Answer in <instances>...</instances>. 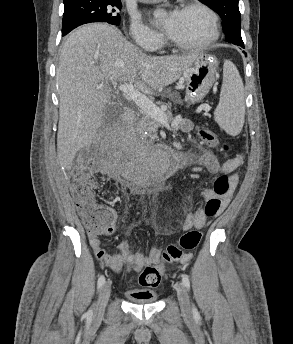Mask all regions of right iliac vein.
<instances>
[{"label":"right iliac vein","instance_id":"1","mask_svg":"<svg viewBox=\"0 0 293 344\" xmlns=\"http://www.w3.org/2000/svg\"><path fill=\"white\" fill-rule=\"evenodd\" d=\"M110 293H111V284L106 283L105 285H103V287L100 290L99 300H98V304L95 310L96 318H101L103 316L107 302L110 297Z\"/></svg>","mask_w":293,"mask_h":344}]
</instances>
